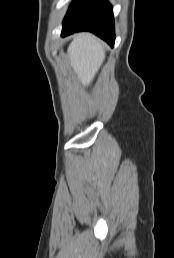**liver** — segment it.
Listing matches in <instances>:
<instances>
[{"label":"liver","instance_id":"liver-1","mask_svg":"<svg viewBox=\"0 0 174 258\" xmlns=\"http://www.w3.org/2000/svg\"><path fill=\"white\" fill-rule=\"evenodd\" d=\"M68 57L78 80L89 86L105 59V51L97 37L79 33L68 47Z\"/></svg>","mask_w":174,"mask_h":258}]
</instances>
